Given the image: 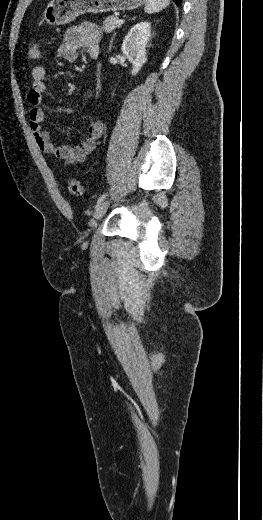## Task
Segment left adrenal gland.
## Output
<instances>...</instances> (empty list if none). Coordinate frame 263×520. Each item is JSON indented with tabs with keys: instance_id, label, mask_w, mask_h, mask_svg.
<instances>
[{
	"instance_id": "left-adrenal-gland-1",
	"label": "left adrenal gland",
	"mask_w": 263,
	"mask_h": 520,
	"mask_svg": "<svg viewBox=\"0 0 263 520\" xmlns=\"http://www.w3.org/2000/svg\"><path fill=\"white\" fill-rule=\"evenodd\" d=\"M114 37H115V34L113 35V37H112V39H111L110 48H111V46H112V41H113Z\"/></svg>"
}]
</instances>
